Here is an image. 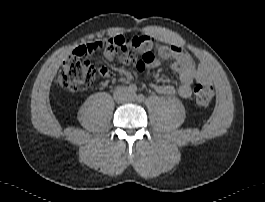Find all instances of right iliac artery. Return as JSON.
<instances>
[{
  "mask_svg": "<svg viewBox=\"0 0 265 202\" xmlns=\"http://www.w3.org/2000/svg\"><path fill=\"white\" fill-rule=\"evenodd\" d=\"M128 91L130 92V93H136V91H137V87H136V85H134V84H131V85H129V87H128Z\"/></svg>",
  "mask_w": 265,
  "mask_h": 202,
  "instance_id": "1",
  "label": "right iliac artery"
}]
</instances>
